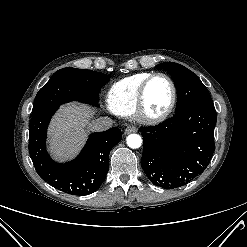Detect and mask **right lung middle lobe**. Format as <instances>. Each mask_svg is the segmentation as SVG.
Masks as SVG:
<instances>
[{"label":"right lung middle lobe","instance_id":"right-lung-middle-lobe-1","mask_svg":"<svg viewBox=\"0 0 247 247\" xmlns=\"http://www.w3.org/2000/svg\"><path fill=\"white\" fill-rule=\"evenodd\" d=\"M109 78L92 70L60 69L37 93L32 114L72 100L98 106L100 89Z\"/></svg>","mask_w":247,"mask_h":247}]
</instances>
